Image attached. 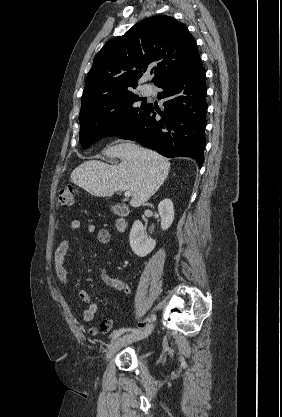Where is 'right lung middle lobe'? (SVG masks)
<instances>
[{"mask_svg": "<svg viewBox=\"0 0 282 417\" xmlns=\"http://www.w3.org/2000/svg\"><path fill=\"white\" fill-rule=\"evenodd\" d=\"M131 89L98 94L82 100L79 114V140L84 149L108 136L129 129L147 103Z\"/></svg>", "mask_w": 282, "mask_h": 417, "instance_id": "right-lung-middle-lobe-1", "label": "right lung middle lobe"}]
</instances>
